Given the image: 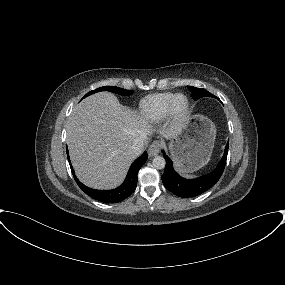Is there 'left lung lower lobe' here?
I'll use <instances>...</instances> for the list:
<instances>
[{"mask_svg": "<svg viewBox=\"0 0 285 285\" xmlns=\"http://www.w3.org/2000/svg\"><path fill=\"white\" fill-rule=\"evenodd\" d=\"M163 152V157L166 160L165 171L162 176V182L166 189L175 195L188 198L198 196L213 185H215L220 179L227 160L228 154V143L225 147L224 155L219 162L218 166L210 173L198 177L196 179H185L182 178L174 169L171 159Z\"/></svg>", "mask_w": 285, "mask_h": 285, "instance_id": "obj_1", "label": "left lung lower lobe"}]
</instances>
